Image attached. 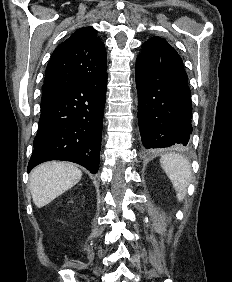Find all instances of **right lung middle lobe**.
Instances as JSON below:
<instances>
[{"label": "right lung middle lobe", "mask_w": 232, "mask_h": 282, "mask_svg": "<svg viewBox=\"0 0 232 282\" xmlns=\"http://www.w3.org/2000/svg\"><path fill=\"white\" fill-rule=\"evenodd\" d=\"M52 104H53V102L51 100H42L41 101V112L45 111Z\"/></svg>", "instance_id": "right-lung-middle-lobe-1"}]
</instances>
